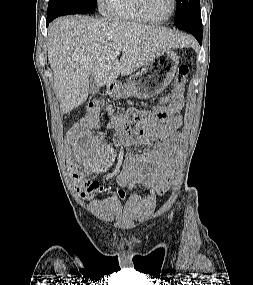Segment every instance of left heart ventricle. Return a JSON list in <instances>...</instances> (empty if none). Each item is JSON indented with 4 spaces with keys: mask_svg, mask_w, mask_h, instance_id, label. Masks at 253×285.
<instances>
[{
    "mask_svg": "<svg viewBox=\"0 0 253 285\" xmlns=\"http://www.w3.org/2000/svg\"><path fill=\"white\" fill-rule=\"evenodd\" d=\"M147 8L153 17L161 19L170 14L172 2L171 0H147Z\"/></svg>",
    "mask_w": 253,
    "mask_h": 285,
    "instance_id": "obj_1",
    "label": "left heart ventricle"
}]
</instances>
